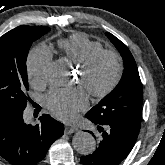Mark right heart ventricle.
I'll return each instance as SVG.
<instances>
[{
  "label": "right heart ventricle",
  "mask_w": 165,
  "mask_h": 165,
  "mask_svg": "<svg viewBox=\"0 0 165 165\" xmlns=\"http://www.w3.org/2000/svg\"><path fill=\"white\" fill-rule=\"evenodd\" d=\"M57 45L64 55L73 63L80 65L94 52L102 49V45L84 33H74L61 38Z\"/></svg>",
  "instance_id": "right-heart-ventricle-1"
}]
</instances>
